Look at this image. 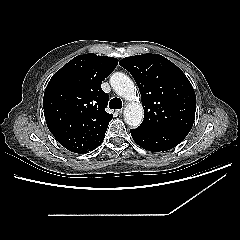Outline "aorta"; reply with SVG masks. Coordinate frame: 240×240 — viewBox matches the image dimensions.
Returning a JSON list of instances; mask_svg holds the SVG:
<instances>
[{
  "instance_id": "762f6f07",
  "label": "aorta",
  "mask_w": 240,
  "mask_h": 240,
  "mask_svg": "<svg viewBox=\"0 0 240 240\" xmlns=\"http://www.w3.org/2000/svg\"><path fill=\"white\" fill-rule=\"evenodd\" d=\"M110 84L113 90L125 100H129L124 109V120L127 125L138 127L144 116L141 103L136 100V87L133 81L124 73L116 72L110 77Z\"/></svg>"
}]
</instances>
